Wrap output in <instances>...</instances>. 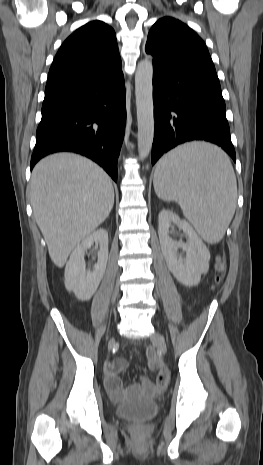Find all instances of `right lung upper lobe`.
Returning <instances> with one entry per match:
<instances>
[{
    "label": "right lung upper lobe",
    "instance_id": "1",
    "mask_svg": "<svg viewBox=\"0 0 263 465\" xmlns=\"http://www.w3.org/2000/svg\"><path fill=\"white\" fill-rule=\"evenodd\" d=\"M122 73L114 30L91 21L61 45L49 70L45 93L74 85L101 82Z\"/></svg>",
    "mask_w": 263,
    "mask_h": 465
}]
</instances>
